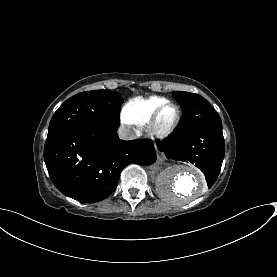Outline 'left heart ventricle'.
<instances>
[{
	"label": "left heart ventricle",
	"mask_w": 277,
	"mask_h": 277,
	"mask_svg": "<svg viewBox=\"0 0 277 277\" xmlns=\"http://www.w3.org/2000/svg\"><path fill=\"white\" fill-rule=\"evenodd\" d=\"M176 117V109L173 106H169L163 110L159 119V127L166 129L174 122Z\"/></svg>",
	"instance_id": "left-heart-ventricle-1"
}]
</instances>
